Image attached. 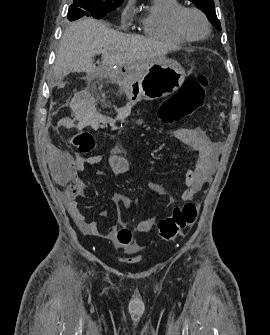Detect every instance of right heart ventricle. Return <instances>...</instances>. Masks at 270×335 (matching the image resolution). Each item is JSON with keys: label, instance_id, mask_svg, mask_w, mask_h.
I'll return each instance as SVG.
<instances>
[{"label": "right heart ventricle", "instance_id": "right-heart-ventricle-1", "mask_svg": "<svg viewBox=\"0 0 270 335\" xmlns=\"http://www.w3.org/2000/svg\"><path fill=\"white\" fill-rule=\"evenodd\" d=\"M182 8L179 0H154L149 9L135 20L149 37L176 44L185 43L188 40L177 32L173 24L175 13Z\"/></svg>", "mask_w": 270, "mask_h": 335}]
</instances>
